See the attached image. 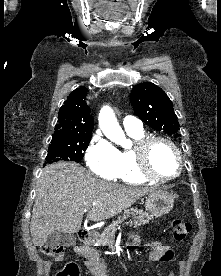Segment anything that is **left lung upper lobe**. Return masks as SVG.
I'll use <instances>...</instances> for the list:
<instances>
[{"mask_svg":"<svg viewBox=\"0 0 221 276\" xmlns=\"http://www.w3.org/2000/svg\"><path fill=\"white\" fill-rule=\"evenodd\" d=\"M131 105L135 114L148 126L168 135L180 137L173 103L157 85L145 82L133 87Z\"/></svg>","mask_w":221,"mask_h":276,"instance_id":"left-lung-upper-lobe-1","label":"left lung upper lobe"}]
</instances>
